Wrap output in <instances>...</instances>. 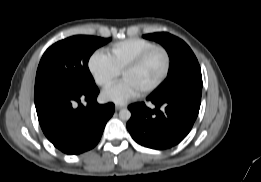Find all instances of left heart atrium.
Segmentation results:
<instances>
[{
    "label": "left heart atrium",
    "instance_id": "1",
    "mask_svg": "<svg viewBox=\"0 0 261 182\" xmlns=\"http://www.w3.org/2000/svg\"><path fill=\"white\" fill-rule=\"evenodd\" d=\"M142 91L133 83L122 80L113 87L105 90L101 94L104 101H110L117 104H123L140 95Z\"/></svg>",
    "mask_w": 261,
    "mask_h": 182
}]
</instances>
